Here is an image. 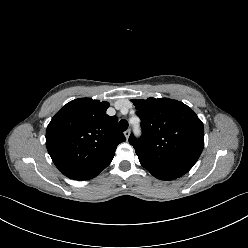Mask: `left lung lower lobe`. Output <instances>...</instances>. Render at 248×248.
I'll return each mask as SVG.
<instances>
[{
	"mask_svg": "<svg viewBox=\"0 0 248 248\" xmlns=\"http://www.w3.org/2000/svg\"><path fill=\"white\" fill-rule=\"evenodd\" d=\"M152 175L161 180H173L177 178L173 176H164V175H158V174H152Z\"/></svg>",
	"mask_w": 248,
	"mask_h": 248,
	"instance_id": "obj_1",
	"label": "left lung lower lobe"
}]
</instances>
